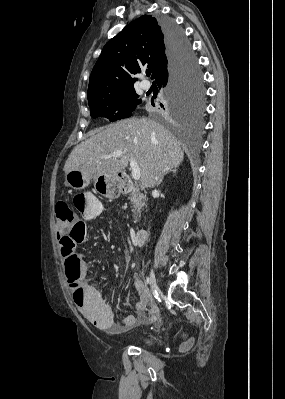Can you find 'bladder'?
I'll return each instance as SVG.
<instances>
[{
  "mask_svg": "<svg viewBox=\"0 0 285 399\" xmlns=\"http://www.w3.org/2000/svg\"><path fill=\"white\" fill-rule=\"evenodd\" d=\"M134 342L143 344V345H149L151 344V338L148 334H139L134 337Z\"/></svg>",
  "mask_w": 285,
  "mask_h": 399,
  "instance_id": "bladder-1",
  "label": "bladder"
}]
</instances>
